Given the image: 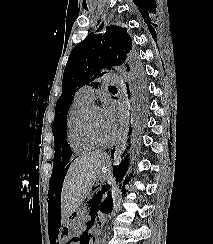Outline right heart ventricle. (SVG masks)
<instances>
[{"instance_id":"right-heart-ventricle-1","label":"right heart ventricle","mask_w":213,"mask_h":244,"mask_svg":"<svg viewBox=\"0 0 213 244\" xmlns=\"http://www.w3.org/2000/svg\"><path fill=\"white\" fill-rule=\"evenodd\" d=\"M91 104L92 102L76 94L67 114V142L70 148L76 153H86L96 147V144L91 142L86 136L83 127L84 114Z\"/></svg>"}]
</instances>
